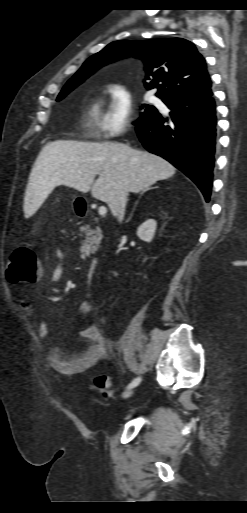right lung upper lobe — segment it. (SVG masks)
<instances>
[{"mask_svg":"<svg viewBox=\"0 0 247 513\" xmlns=\"http://www.w3.org/2000/svg\"><path fill=\"white\" fill-rule=\"evenodd\" d=\"M127 56L145 62V79L151 80L145 87L157 88L162 101L212 95L205 59L193 43L182 38L114 41L88 58L72 78L83 81L99 67Z\"/></svg>","mask_w":247,"mask_h":513,"instance_id":"cb5924a9","label":"right lung upper lobe"}]
</instances>
